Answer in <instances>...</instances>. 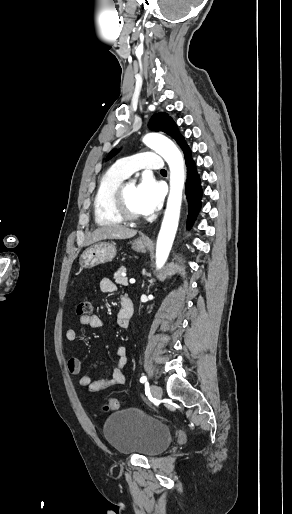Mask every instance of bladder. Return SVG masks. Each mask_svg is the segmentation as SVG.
<instances>
[{"mask_svg":"<svg viewBox=\"0 0 292 514\" xmlns=\"http://www.w3.org/2000/svg\"><path fill=\"white\" fill-rule=\"evenodd\" d=\"M102 434L108 444L123 455L153 457L170 443L172 433L163 422L137 409H123L108 417Z\"/></svg>","mask_w":292,"mask_h":514,"instance_id":"bladder-1","label":"bladder"}]
</instances>
